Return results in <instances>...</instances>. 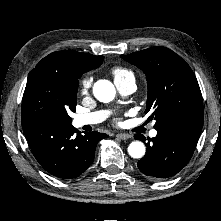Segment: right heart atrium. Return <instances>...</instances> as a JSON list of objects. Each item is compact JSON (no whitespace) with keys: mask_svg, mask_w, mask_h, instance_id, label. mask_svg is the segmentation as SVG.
<instances>
[{"mask_svg":"<svg viewBox=\"0 0 221 221\" xmlns=\"http://www.w3.org/2000/svg\"><path fill=\"white\" fill-rule=\"evenodd\" d=\"M92 84V78L90 76H85L81 79L79 83V91L82 95H86Z\"/></svg>","mask_w":221,"mask_h":221,"instance_id":"d8ad5b80","label":"right heart atrium"}]
</instances>
